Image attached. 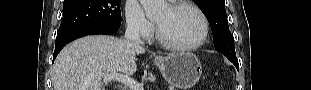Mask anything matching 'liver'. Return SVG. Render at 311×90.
Returning <instances> with one entry per match:
<instances>
[{"mask_svg": "<svg viewBox=\"0 0 311 90\" xmlns=\"http://www.w3.org/2000/svg\"><path fill=\"white\" fill-rule=\"evenodd\" d=\"M145 49L113 36H86L65 46L53 66L54 90H105L103 76L137 70Z\"/></svg>", "mask_w": 311, "mask_h": 90, "instance_id": "1", "label": "liver"}]
</instances>
